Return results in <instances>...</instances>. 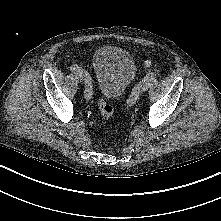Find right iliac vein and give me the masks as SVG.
I'll return each mask as SVG.
<instances>
[{"mask_svg":"<svg viewBox=\"0 0 221 221\" xmlns=\"http://www.w3.org/2000/svg\"><path fill=\"white\" fill-rule=\"evenodd\" d=\"M76 80L81 83L82 82V76L80 74H76Z\"/></svg>","mask_w":221,"mask_h":221,"instance_id":"1","label":"right iliac vein"}]
</instances>
